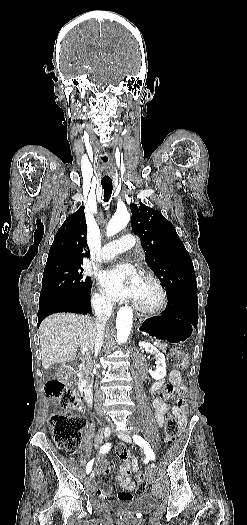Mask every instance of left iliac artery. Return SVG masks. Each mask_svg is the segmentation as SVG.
<instances>
[{"mask_svg": "<svg viewBox=\"0 0 247 525\" xmlns=\"http://www.w3.org/2000/svg\"><path fill=\"white\" fill-rule=\"evenodd\" d=\"M133 441L144 450V453L148 458L155 460V454L148 442L139 435H133Z\"/></svg>", "mask_w": 247, "mask_h": 525, "instance_id": "44dca946", "label": "left iliac artery"}]
</instances>
